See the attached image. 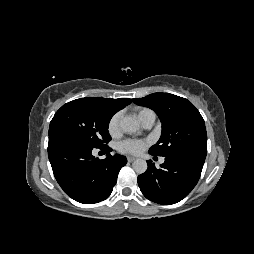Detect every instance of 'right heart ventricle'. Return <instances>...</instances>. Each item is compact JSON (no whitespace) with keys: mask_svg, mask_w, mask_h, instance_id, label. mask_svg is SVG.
I'll list each match as a JSON object with an SVG mask.
<instances>
[{"mask_svg":"<svg viewBox=\"0 0 254 254\" xmlns=\"http://www.w3.org/2000/svg\"><path fill=\"white\" fill-rule=\"evenodd\" d=\"M138 119L140 120L141 118L148 116V115H153L155 116L154 112L148 108H141L138 110Z\"/></svg>","mask_w":254,"mask_h":254,"instance_id":"e07e8e85","label":"right heart ventricle"}]
</instances>
